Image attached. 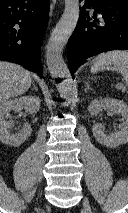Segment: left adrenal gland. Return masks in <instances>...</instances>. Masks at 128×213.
Here are the masks:
<instances>
[{
    "mask_svg": "<svg viewBox=\"0 0 128 213\" xmlns=\"http://www.w3.org/2000/svg\"><path fill=\"white\" fill-rule=\"evenodd\" d=\"M85 84H86V88L84 89L85 92H87L88 90H92L88 82H86Z\"/></svg>",
    "mask_w": 128,
    "mask_h": 213,
    "instance_id": "obj_1",
    "label": "left adrenal gland"
}]
</instances>
